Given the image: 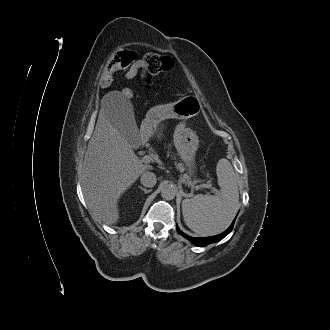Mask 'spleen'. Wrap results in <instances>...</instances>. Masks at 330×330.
<instances>
[{
    "label": "spleen",
    "instance_id": "obj_1",
    "mask_svg": "<svg viewBox=\"0 0 330 330\" xmlns=\"http://www.w3.org/2000/svg\"><path fill=\"white\" fill-rule=\"evenodd\" d=\"M219 192L215 195L198 194L182 202L186 225L201 236L224 231L239 209L238 178L231 163L222 158L216 167Z\"/></svg>",
    "mask_w": 330,
    "mask_h": 330
}]
</instances>
